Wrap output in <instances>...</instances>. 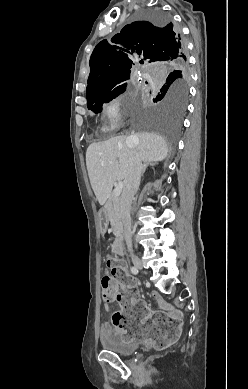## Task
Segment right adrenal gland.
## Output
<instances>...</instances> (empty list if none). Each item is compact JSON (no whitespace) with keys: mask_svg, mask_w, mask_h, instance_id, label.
Masks as SVG:
<instances>
[{"mask_svg":"<svg viewBox=\"0 0 248 389\" xmlns=\"http://www.w3.org/2000/svg\"><path fill=\"white\" fill-rule=\"evenodd\" d=\"M154 165H155V163H153V162H145L144 165H143V169H142L141 176L144 175V173H145V171H146V168H147L148 166H154Z\"/></svg>","mask_w":248,"mask_h":389,"instance_id":"2a0ac1e0","label":"right adrenal gland"}]
</instances>
